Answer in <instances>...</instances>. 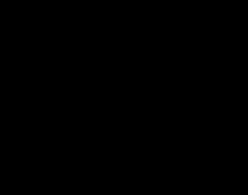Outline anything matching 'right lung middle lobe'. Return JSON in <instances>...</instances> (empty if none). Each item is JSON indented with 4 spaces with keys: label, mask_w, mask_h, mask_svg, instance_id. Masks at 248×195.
<instances>
[{
    "label": "right lung middle lobe",
    "mask_w": 248,
    "mask_h": 195,
    "mask_svg": "<svg viewBox=\"0 0 248 195\" xmlns=\"http://www.w3.org/2000/svg\"><path fill=\"white\" fill-rule=\"evenodd\" d=\"M117 35L85 31L74 33L49 52L38 88L43 95L58 88H74L102 93L94 77V64L100 51Z\"/></svg>",
    "instance_id": "right-lung-middle-lobe-1"
}]
</instances>
